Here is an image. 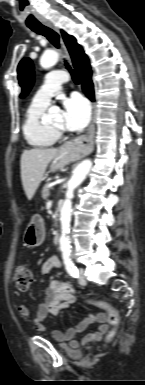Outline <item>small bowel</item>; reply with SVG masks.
<instances>
[{
	"label": "small bowel",
	"mask_w": 145,
	"mask_h": 385,
	"mask_svg": "<svg viewBox=\"0 0 145 385\" xmlns=\"http://www.w3.org/2000/svg\"><path fill=\"white\" fill-rule=\"evenodd\" d=\"M61 262L56 256L48 258L40 268L41 275L48 274L54 268H60ZM58 284L66 287L67 291L60 292L56 289ZM75 290L67 283L52 282L45 290V299L33 314L28 306L19 305L18 312L25 318L34 322L39 332L45 333L47 327L45 321L49 315H57L61 310L66 309L75 302ZM96 324V328L86 333L81 340H75L77 334L83 333L89 326ZM108 331L107 318L105 313L88 314L80 320L74 327L69 328L66 332L54 330L52 336L55 340L64 342L68 341L72 348H77L81 344H88L93 340H99Z\"/></svg>",
	"instance_id": "small-bowel-1"
}]
</instances>
